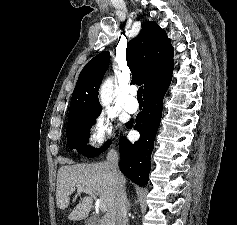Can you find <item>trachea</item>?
Masks as SVG:
<instances>
[{
	"mask_svg": "<svg viewBox=\"0 0 237 225\" xmlns=\"http://www.w3.org/2000/svg\"><path fill=\"white\" fill-rule=\"evenodd\" d=\"M142 94H143V87H139L138 91H137V99L138 100H142Z\"/></svg>",
	"mask_w": 237,
	"mask_h": 225,
	"instance_id": "obj_1",
	"label": "trachea"
}]
</instances>
